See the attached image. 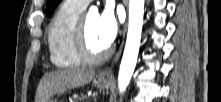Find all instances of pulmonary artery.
Instances as JSON below:
<instances>
[{"mask_svg": "<svg viewBox=\"0 0 221 102\" xmlns=\"http://www.w3.org/2000/svg\"><path fill=\"white\" fill-rule=\"evenodd\" d=\"M79 5L83 6L84 8L91 2V0H72Z\"/></svg>", "mask_w": 221, "mask_h": 102, "instance_id": "pulmonary-artery-1", "label": "pulmonary artery"}]
</instances>
